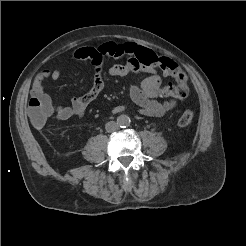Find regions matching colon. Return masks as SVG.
<instances>
[{
	"mask_svg": "<svg viewBox=\"0 0 246 246\" xmlns=\"http://www.w3.org/2000/svg\"><path fill=\"white\" fill-rule=\"evenodd\" d=\"M134 61L146 68H156L163 71L164 74L174 78L175 83H169L162 86L163 96L173 98H184L188 94L187 78L179 65L169 57L157 55L152 50L145 47H136L133 53ZM50 104L40 98L32 97L28 102V115L36 127H42L50 117ZM194 118V112L190 109L183 111L178 119V125L181 127L191 124Z\"/></svg>",
	"mask_w": 246,
	"mask_h": 246,
	"instance_id": "5ec220e1",
	"label": "colon"
}]
</instances>
